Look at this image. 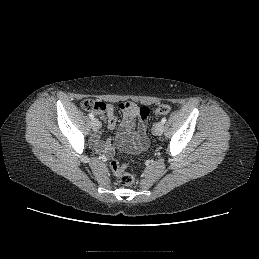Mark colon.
Returning a JSON list of instances; mask_svg holds the SVG:
<instances>
[{
  "label": "colon",
  "mask_w": 259,
  "mask_h": 259,
  "mask_svg": "<svg viewBox=\"0 0 259 259\" xmlns=\"http://www.w3.org/2000/svg\"><path fill=\"white\" fill-rule=\"evenodd\" d=\"M84 108L91 110H103L105 108V103L103 102H95L92 100H86L83 103ZM171 112V107L169 105L163 104L157 107L155 113L157 115H165ZM150 110L147 107H140V115L142 118L147 119L149 116ZM111 169L116 176L119 178V182L123 186H130L134 182V176L125 171V165H120L117 161L111 162Z\"/></svg>",
  "instance_id": "1"
}]
</instances>
